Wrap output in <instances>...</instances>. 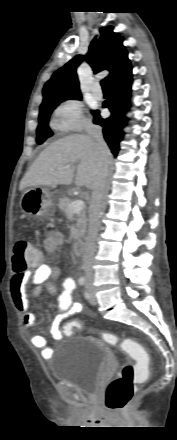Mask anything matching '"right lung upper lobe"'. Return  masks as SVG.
Wrapping results in <instances>:
<instances>
[{
    "label": "right lung upper lobe",
    "instance_id": "obj_1",
    "mask_svg": "<svg viewBox=\"0 0 177 440\" xmlns=\"http://www.w3.org/2000/svg\"><path fill=\"white\" fill-rule=\"evenodd\" d=\"M124 38L113 32L112 26L100 28V37L94 40L85 56L77 55L57 70L43 88V102L48 104L81 96L76 73L78 65L87 61L94 73L108 70L109 83L119 73L129 67L128 54L123 46Z\"/></svg>",
    "mask_w": 177,
    "mask_h": 440
}]
</instances>
